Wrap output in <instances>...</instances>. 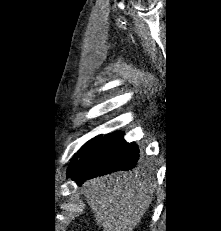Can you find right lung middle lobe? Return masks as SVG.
I'll return each instance as SVG.
<instances>
[{
  "label": "right lung middle lobe",
  "mask_w": 221,
  "mask_h": 231,
  "mask_svg": "<svg viewBox=\"0 0 221 231\" xmlns=\"http://www.w3.org/2000/svg\"><path fill=\"white\" fill-rule=\"evenodd\" d=\"M101 136H97L93 139H91L90 141H88L83 147L82 149H80L77 153L76 156L73 157L72 161H71V164L70 165H73L77 162L78 158H80L94 143H96L99 139H100Z\"/></svg>",
  "instance_id": "right-lung-middle-lobe-1"
}]
</instances>
